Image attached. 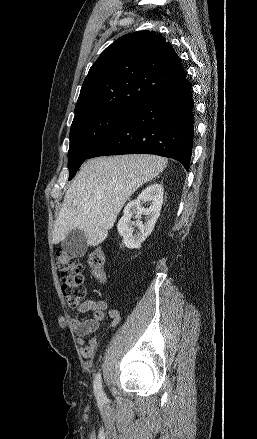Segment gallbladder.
<instances>
[{
    "mask_svg": "<svg viewBox=\"0 0 257 439\" xmlns=\"http://www.w3.org/2000/svg\"><path fill=\"white\" fill-rule=\"evenodd\" d=\"M62 249L74 257H82L88 249L86 236L83 231L74 229L70 231L61 242Z\"/></svg>",
    "mask_w": 257,
    "mask_h": 439,
    "instance_id": "gallbladder-1",
    "label": "gallbladder"
}]
</instances>
